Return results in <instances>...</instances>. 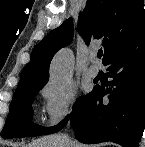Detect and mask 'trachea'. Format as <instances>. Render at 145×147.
Returning <instances> with one entry per match:
<instances>
[{
	"label": "trachea",
	"instance_id": "trachea-1",
	"mask_svg": "<svg viewBox=\"0 0 145 147\" xmlns=\"http://www.w3.org/2000/svg\"><path fill=\"white\" fill-rule=\"evenodd\" d=\"M102 55H103V51H102V50H99V51H98V54H97V57H98V58H101Z\"/></svg>",
	"mask_w": 145,
	"mask_h": 147
}]
</instances>
